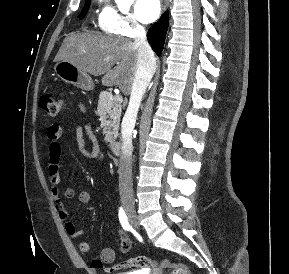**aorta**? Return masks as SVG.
Segmentation results:
<instances>
[{
    "mask_svg": "<svg viewBox=\"0 0 289 274\" xmlns=\"http://www.w3.org/2000/svg\"><path fill=\"white\" fill-rule=\"evenodd\" d=\"M115 2L120 7H129V5L131 4L132 0H115Z\"/></svg>",
    "mask_w": 289,
    "mask_h": 274,
    "instance_id": "762f6f07",
    "label": "aorta"
}]
</instances>
